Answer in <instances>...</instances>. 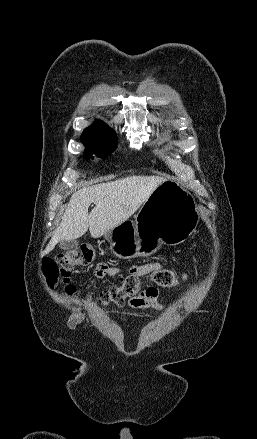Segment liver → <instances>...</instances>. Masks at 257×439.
I'll return each mask as SVG.
<instances>
[{
  "instance_id": "liver-1",
  "label": "liver",
  "mask_w": 257,
  "mask_h": 439,
  "mask_svg": "<svg viewBox=\"0 0 257 439\" xmlns=\"http://www.w3.org/2000/svg\"><path fill=\"white\" fill-rule=\"evenodd\" d=\"M166 179L159 176H129L84 187L72 194L62 221L42 255L62 240L83 236L88 228L93 238L128 220ZM91 203L95 207L90 213Z\"/></svg>"
}]
</instances>
